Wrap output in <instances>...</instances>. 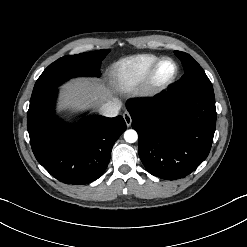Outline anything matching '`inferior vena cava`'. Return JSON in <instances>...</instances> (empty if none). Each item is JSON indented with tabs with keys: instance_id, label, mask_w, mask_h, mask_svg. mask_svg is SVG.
Returning <instances> with one entry per match:
<instances>
[{
	"instance_id": "obj_1",
	"label": "inferior vena cava",
	"mask_w": 247,
	"mask_h": 247,
	"mask_svg": "<svg viewBox=\"0 0 247 247\" xmlns=\"http://www.w3.org/2000/svg\"><path fill=\"white\" fill-rule=\"evenodd\" d=\"M121 108V102L119 100H108L100 107V113L106 117H115L118 115Z\"/></svg>"
}]
</instances>
